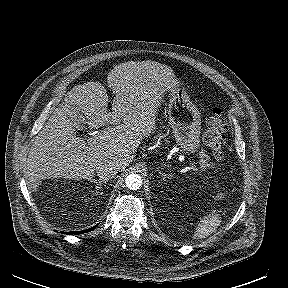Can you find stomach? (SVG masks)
I'll list each match as a JSON object with an SVG mask.
<instances>
[{"mask_svg": "<svg viewBox=\"0 0 288 288\" xmlns=\"http://www.w3.org/2000/svg\"><path fill=\"white\" fill-rule=\"evenodd\" d=\"M177 84L169 89L168 117L175 142L187 153H195L200 146L201 115L190 101L184 83L177 79Z\"/></svg>", "mask_w": 288, "mask_h": 288, "instance_id": "stomach-1", "label": "stomach"}]
</instances>
